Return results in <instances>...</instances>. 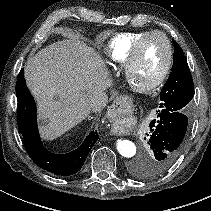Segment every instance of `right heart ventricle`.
<instances>
[{"instance_id":"e07e8e85","label":"right heart ventricle","mask_w":211,"mask_h":211,"mask_svg":"<svg viewBox=\"0 0 211 211\" xmlns=\"http://www.w3.org/2000/svg\"><path fill=\"white\" fill-rule=\"evenodd\" d=\"M149 31L124 32L115 35L107 44L105 54L108 61L124 67L136 41Z\"/></svg>"}]
</instances>
